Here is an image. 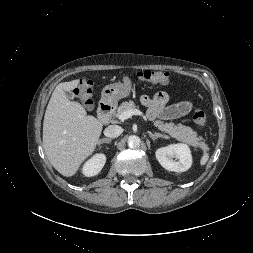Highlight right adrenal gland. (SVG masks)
<instances>
[{
    "label": "right adrenal gland",
    "instance_id": "2a0ac1e0",
    "mask_svg": "<svg viewBox=\"0 0 253 253\" xmlns=\"http://www.w3.org/2000/svg\"><path fill=\"white\" fill-rule=\"evenodd\" d=\"M111 141H112V139H109V138L100 139L98 141V145L101 148V146H100L101 144H103V143H110Z\"/></svg>",
    "mask_w": 253,
    "mask_h": 253
}]
</instances>
